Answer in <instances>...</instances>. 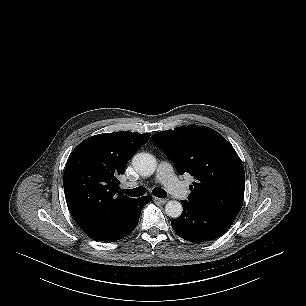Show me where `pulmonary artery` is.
<instances>
[{
    "label": "pulmonary artery",
    "mask_w": 306,
    "mask_h": 306,
    "mask_svg": "<svg viewBox=\"0 0 306 306\" xmlns=\"http://www.w3.org/2000/svg\"><path fill=\"white\" fill-rule=\"evenodd\" d=\"M157 180L164 184L169 192L178 199H184L188 194L184 184L177 179L172 166L168 162L164 161L159 164ZM132 186H134L132 183H127L124 185L126 188H130Z\"/></svg>",
    "instance_id": "1"
}]
</instances>
